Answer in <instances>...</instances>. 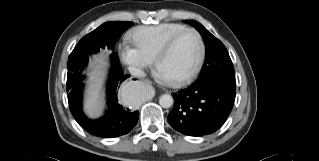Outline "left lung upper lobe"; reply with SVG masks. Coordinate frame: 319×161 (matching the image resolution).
<instances>
[{
  "label": "left lung upper lobe",
  "instance_id": "left-lung-upper-lobe-1",
  "mask_svg": "<svg viewBox=\"0 0 319 161\" xmlns=\"http://www.w3.org/2000/svg\"><path fill=\"white\" fill-rule=\"evenodd\" d=\"M185 22L199 31L206 46L205 62L195 82L220 81L235 86L233 63L224 44L200 23L194 20Z\"/></svg>",
  "mask_w": 319,
  "mask_h": 161
}]
</instances>
